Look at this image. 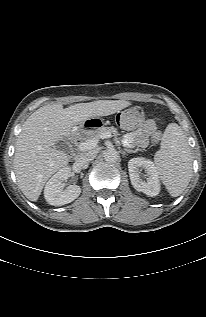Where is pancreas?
Returning a JSON list of instances; mask_svg holds the SVG:
<instances>
[{"mask_svg":"<svg viewBox=\"0 0 206 317\" xmlns=\"http://www.w3.org/2000/svg\"><path fill=\"white\" fill-rule=\"evenodd\" d=\"M107 133L111 136H118V131L116 128L112 127H103L98 128V130H91L88 133L82 132V137H86L89 140H94L96 142L100 141L102 137L106 136Z\"/></svg>","mask_w":206,"mask_h":317,"instance_id":"1","label":"pancreas"}]
</instances>
